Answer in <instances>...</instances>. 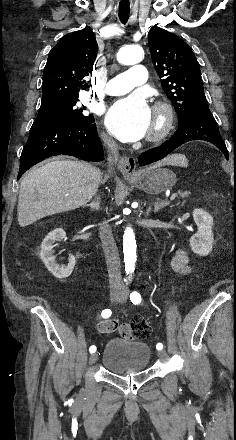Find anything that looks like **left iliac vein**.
<instances>
[{
    "label": "left iliac vein",
    "instance_id": "4c4485c4",
    "mask_svg": "<svg viewBox=\"0 0 236 440\" xmlns=\"http://www.w3.org/2000/svg\"><path fill=\"white\" fill-rule=\"evenodd\" d=\"M127 297H128L127 293H123L118 301L120 303H124L127 300ZM157 354H158L159 357H162V358L166 357V352L163 351V350L162 351H158Z\"/></svg>",
    "mask_w": 236,
    "mask_h": 440
}]
</instances>
